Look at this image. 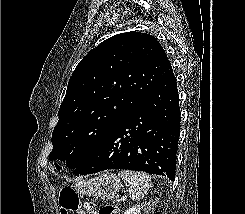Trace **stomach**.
I'll list each match as a JSON object with an SVG mask.
<instances>
[{"mask_svg":"<svg viewBox=\"0 0 245 214\" xmlns=\"http://www.w3.org/2000/svg\"><path fill=\"white\" fill-rule=\"evenodd\" d=\"M121 187L120 179L110 172L102 173L92 179L80 180L75 185V189L79 194L103 200L114 197Z\"/></svg>","mask_w":245,"mask_h":214,"instance_id":"1","label":"stomach"}]
</instances>
